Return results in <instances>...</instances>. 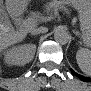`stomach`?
<instances>
[{
  "instance_id": "obj_1",
  "label": "stomach",
  "mask_w": 91,
  "mask_h": 91,
  "mask_svg": "<svg viewBox=\"0 0 91 91\" xmlns=\"http://www.w3.org/2000/svg\"><path fill=\"white\" fill-rule=\"evenodd\" d=\"M70 3L74 7L81 9L83 12V15L81 16V29L83 32V38L85 42H89L90 30H91V17L89 15L90 3L89 1H83V0H71Z\"/></svg>"
}]
</instances>
